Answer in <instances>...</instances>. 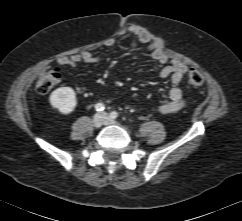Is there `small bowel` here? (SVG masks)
<instances>
[{"label":"small bowel","mask_w":242,"mask_h":221,"mask_svg":"<svg viewBox=\"0 0 242 221\" xmlns=\"http://www.w3.org/2000/svg\"><path fill=\"white\" fill-rule=\"evenodd\" d=\"M128 32L134 35L133 40L130 43L131 54L134 58L141 56L139 50V44H145L151 57L163 67L159 72L160 79L169 78L174 85H177L183 79V76L187 72V66L177 60H169L166 53L157 47L151 36L144 30L128 29ZM114 41L112 39L106 42V46L112 47ZM104 59L103 56H96L89 51L82 52L80 54H73L69 56H62L58 58L57 63L61 66H77L80 63L95 64ZM185 105L182 91L179 87H172L169 91L168 100L158 107V111L161 114H172L178 112Z\"/></svg>","instance_id":"1"}]
</instances>
